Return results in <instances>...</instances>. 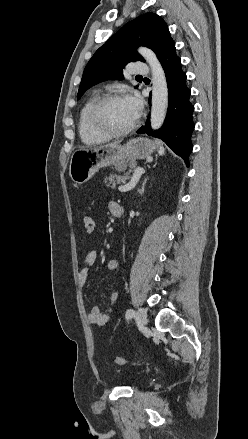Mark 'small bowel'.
Listing matches in <instances>:
<instances>
[{
	"label": "small bowel",
	"mask_w": 248,
	"mask_h": 439,
	"mask_svg": "<svg viewBox=\"0 0 248 439\" xmlns=\"http://www.w3.org/2000/svg\"><path fill=\"white\" fill-rule=\"evenodd\" d=\"M118 206L119 204L115 201H110L108 204V208L111 213H113V210ZM96 259L97 251L95 249H91L86 256L84 260V266L82 267L78 275V281L81 288L86 287L88 283L90 267L95 263ZM119 267V261L116 259H111L106 265L108 271H118ZM108 299L111 304H114L118 299V293L111 292L108 296ZM88 320L91 324H94L96 326H105L110 321V310H108L107 312H102L98 306H93L89 311Z\"/></svg>",
	"instance_id": "c3829d8e"
}]
</instances>
